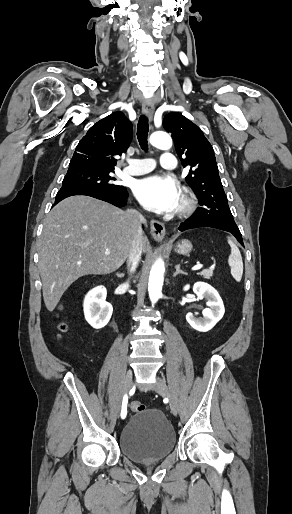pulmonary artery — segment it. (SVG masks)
Wrapping results in <instances>:
<instances>
[{"mask_svg":"<svg viewBox=\"0 0 292 514\" xmlns=\"http://www.w3.org/2000/svg\"><path fill=\"white\" fill-rule=\"evenodd\" d=\"M172 151H165L162 154L160 169L162 172H173L176 169V160L173 157ZM132 170H128L127 173L132 175H140L145 172H152L156 165L152 162L150 157H132L131 158Z\"/></svg>","mask_w":292,"mask_h":514,"instance_id":"e3ab8cb5","label":"pulmonary artery"}]
</instances>
